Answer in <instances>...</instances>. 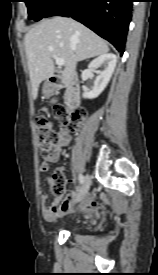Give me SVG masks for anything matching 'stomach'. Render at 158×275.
<instances>
[{
    "mask_svg": "<svg viewBox=\"0 0 158 275\" xmlns=\"http://www.w3.org/2000/svg\"><path fill=\"white\" fill-rule=\"evenodd\" d=\"M43 93L46 96H48L50 94V91L47 89L46 85L43 87Z\"/></svg>",
    "mask_w": 158,
    "mask_h": 275,
    "instance_id": "stomach-1",
    "label": "stomach"
}]
</instances>
